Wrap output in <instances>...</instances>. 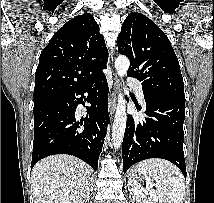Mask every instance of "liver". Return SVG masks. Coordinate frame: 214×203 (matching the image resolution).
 I'll return each mask as SVG.
<instances>
[{
	"instance_id": "obj_1",
	"label": "liver",
	"mask_w": 214,
	"mask_h": 203,
	"mask_svg": "<svg viewBox=\"0 0 214 203\" xmlns=\"http://www.w3.org/2000/svg\"><path fill=\"white\" fill-rule=\"evenodd\" d=\"M34 203H87L92 193L90 167L65 154L46 157L32 169Z\"/></svg>"
}]
</instances>
